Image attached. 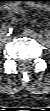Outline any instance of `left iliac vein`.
I'll list each match as a JSON object with an SVG mask.
<instances>
[{"mask_svg": "<svg viewBox=\"0 0 50 111\" xmlns=\"http://www.w3.org/2000/svg\"><path fill=\"white\" fill-rule=\"evenodd\" d=\"M24 34L28 35V36H31L33 38H36V39H41L40 36L37 33H35L34 31H32L30 29H25ZM42 45L43 46H48L46 42H42Z\"/></svg>", "mask_w": 50, "mask_h": 111, "instance_id": "left-iliac-vein-1", "label": "left iliac vein"}]
</instances>
